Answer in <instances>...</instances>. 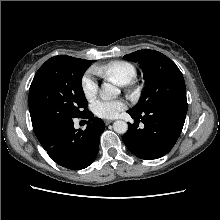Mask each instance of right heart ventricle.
<instances>
[{"mask_svg": "<svg viewBox=\"0 0 220 220\" xmlns=\"http://www.w3.org/2000/svg\"><path fill=\"white\" fill-rule=\"evenodd\" d=\"M95 73L101 75L118 85H127L137 75L136 67L127 61H112L95 68Z\"/></svg>", "mask_w": 220, "mask_h": 220, "instance_id": "1", "label": "right heart ventricle"}]
</instances>
